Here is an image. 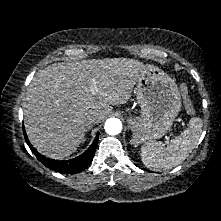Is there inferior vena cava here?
Listing matches in <instances>:
<instances>
[{
	"instance_id": "inferior-vena-cava-1",
	"label": "inferior vena cava",
	"mask_w": 221,
	"mask_h": 221,
	"mask_svg": "<svg viewBox=\"0 0 221 221\" xmlns=\"http://www.w3.org/2000/svg\"><path fill=\"white\" fill-rule=\"evenodd\" d=\"M84 122H85V126H86L87 128H91V127H93L95 124H97L98 119H97V117L94 116V115H88V116L85 117Z\"/></svg>"
}]
</instances>
